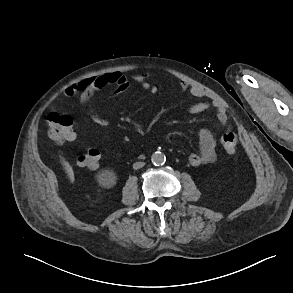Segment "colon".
I'll return each mask as SVG.
<instances>
[{
    "label": "colon",
    "mask_w": 293,
    "mask_h": 293,
    "mask_svg": "<svg viewBox=\"0 0 293 293\" xmlns=\"http://www.w3.org/2000/svg\"><path fill=\"white\" fill-rule=\"evenodd\" d=\"M47 124L49 136L54 141L62 143L75 138L74 121L70 116L51 112L47 116ZM221 144L227 153H234L237 147L236 135L230 131L225 132L221 136ZM100 159V151L97 148H91L79 156L78 164L88 169H96Z\"/></svg>",
    "instance_id": "1"
}]
</instances>
